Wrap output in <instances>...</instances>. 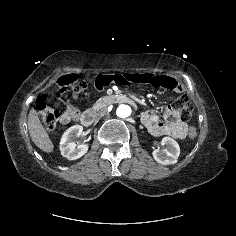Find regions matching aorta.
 Wrapping results in <instances>:
<instances>
[{
  "label": "aorta",
  "instance_id": "1",
  "mask_svg": "<svg viewBox=\"0 0 236 236\" xmlns=\"http://www.w3.org/2000/svg\"><path fill=\"white\" fill-rule=\"evenodd\" d=\"M132 109L128 105L121 104L116 109V115L119 118H127L131 115Z\"/></svg>",
  "mask_w": 236,
  "mask_h": 236
}]
</instances>
